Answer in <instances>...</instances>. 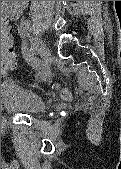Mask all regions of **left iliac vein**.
I'll return each instance as SVG.
<instances>
[{"label": "left iliac vein", "mask_w": 121, "mask_h": 169, "mask_svg": "<svg viewBox=\"0 0 121 169\" xmlns=\"http://www.w3.org/2000/svg\"><path fill=\"white\" fill-rule=\"evenodd\" d=\"M35 45H36V48H37V51L40 55V57L44 60V61H47L50 57V49L46 46V44L38 39L36 40L35 42ZM49 75V71L46 70L44 73H43V76H42V80H45L47 78V76Z\"/></svg>", "instance_id": "1"}]
</instances>
